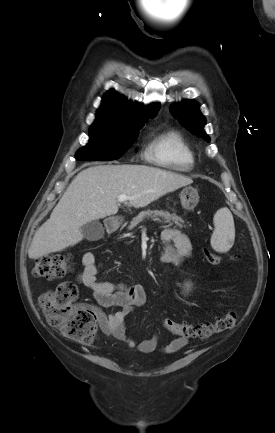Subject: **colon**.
Here are the masks:
<instances>
[{
    "label": "colon",
    "instance_id": "5ec220e1",
    "mask_svg": "<svg viewBox=\"0 0 275 433\" xmlns=\"http://www.w3.org/2000/svg\"><path fill=\"white\" fill-rule=\"evenodd\" d=\"M205 259L212 265H220L221 257L204 249ZM70 269L69 260L64 256L40 257L36 260L33 273L39 278L54 279L64 276ZM77 287L70 282H62L55 289L40 296V306L46 320L57 327L67 338L90 344L97 332L95 313L87 307L75 304ZM237 323V315L230 311L213 322L202 324L180 323L164 319L163 326L171 333L185 339H206L232 329Z\"/></svg>",
    "mask_w": 275,
    "mask_h": 433
}]
</instances>
